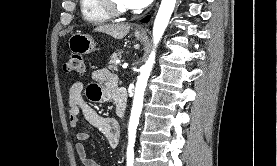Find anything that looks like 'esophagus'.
<instances>
[{
	"label": "esophagus",
	"instance_id": "obj_1",
	"mask_svg": "<svg viewBox=\"0 0 277 166\" xmlns=\"http://www.w3.org/2000/svg\"><path fill=\"white\" fill-rule=\"evenodd\" d=\"M136 32L139 34H146L148 32V28L144 25H140L136 28Z\"/></svg>",
	"mask_w": 277,
	"mask_h": 166
}]
</instances>
